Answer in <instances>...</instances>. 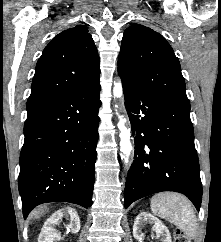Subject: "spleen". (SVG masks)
Listing matches in <instances>:
<instances>
[{
	"label": "spleen",
	"instance_id": "1",
	"mask_svg": "<svg viewBox=\"0 0 221 242\" xmlns=\"http://www.w3.org/2000/svg\"><path fill=\"white\" fill-rule=\"evenodd\" d=\"M151 211L181 229L189 239L197 236V220L191 202L179 193H158L151 198Z\"/></svg>",
	"mask_w": 221,
	"mask_h": 242
}]
</instances>
